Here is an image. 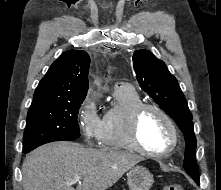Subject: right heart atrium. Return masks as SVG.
Wrapping results in <instances>:
<instances>
[{
    "label": "right heart atrium",
    "mask_w": 221,
    "mask_h": 190,
    "mask_svg": "<svg viewBox=\"0 0 221 190\" xmlns=\"http://www.w3.org/2000/svg\"><path fill=\"white\" fill-rule=\"evenodd\" d=\"M77 122L87 142L100 141L101 118L91 97H86L81 103L77 112Z\"/></svg>",
    "instance_id": "right-heart-atrium-1"
}]
</instances>
